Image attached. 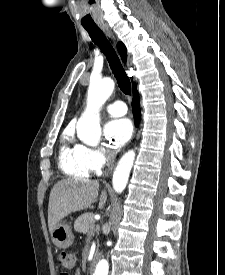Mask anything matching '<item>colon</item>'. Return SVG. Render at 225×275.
<instances>
[{
    "instance_id": "5ec220e1",
    "label": "colon",
    "mask_w": 225,
    "mask_h": 275,
    "mask_svg": "<svg viewBox=\"0 0 225 275\" xmlns=\"http://www.w3.org/2000/svg\"><path fill=\"white\" fill-rule=\"evenodd\" d=\"M57 263L59 266L64 267L66 269H71L75 265L76 256L72 252L62 251L57 255ZM60 275H65L64 273Z\"/></svg>"
}]
</instances>
